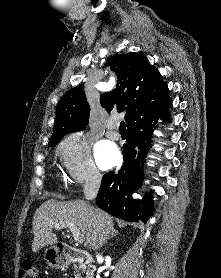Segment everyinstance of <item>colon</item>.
<instances>
[{"mask_svg": "<svg viewBox=\"0 0 221 278\" xmlns=\"http://www.w3.org/2000/svg\"><path fill=\"white\" fill-rule=\"evenodd\" d=\"M18 278H38L36 269L30 261H26L18 271Z\"/></svg>", "mask_w": 221, "mask_h": 278, "instance_id": "1", "label": "colon"}]
</instances>
